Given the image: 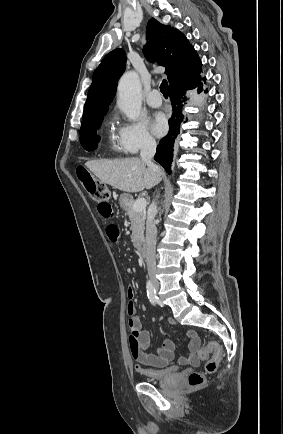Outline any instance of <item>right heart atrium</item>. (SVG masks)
Segmentation results:
<instances>
[{
  "label": "right heart atrium",
  "mask_w": 283,
  "mask_h": 434,
  "mask_svg": "<svg viewBox=\"0 0 283 434\" xmlns=\"http://www.w3.org/2000/svg\"><path fill=\"white\" fill-rule=\"evenodd\" d=\"M119 148L127 154H136L140 150L151 148L156 141L144 120H135L122 124L118 129Z\"/></svg>",
  "instance_id": "right-heart-atrium-1"
}]
</instances>
